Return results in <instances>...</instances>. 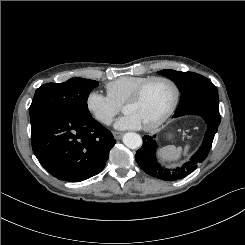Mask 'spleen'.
<instances>
[{
    "label": "spleen",
    "mask_w": 245,
    "mask_h": 245,
    "mask_svg": "<svg viewBox=\"0 0 245 245\" xmlns=\"http://www.w3.org/2000/svg\"><path fill=\"white\" fill-rule=\"evenodd\" d=\"M189 149V145H186L184 149L181 146L168 145L160 149L158 155L162 162H172L179 160L182 154L186 155Z\"/></svg>",
    "instance_id": "spleen-1"
}]
</instances>
